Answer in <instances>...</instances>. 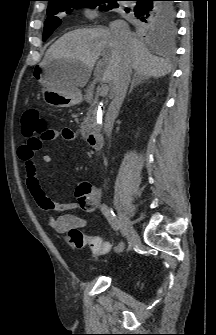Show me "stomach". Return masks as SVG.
Wrapping results in <instances>:
<instances>
[{
    "instance_id": "obj_1",
    "label": "stomach",
    "mask_w": 216,
    "mask_h": 335,
    "mask_svg": "<svg viewBox=\"0 0 216 335\" xmlns=\"http://www.w3.org/2000/svg\"><path fill=\"white\" fill-rule=\"evenodd\" d=\"M79 65L78 62L55 60L35 68L34 75L44 86L42 97L46 104L58 107H72L81 101V95L66 81L70 70Z\"/></svg>"
}]
</instances>
